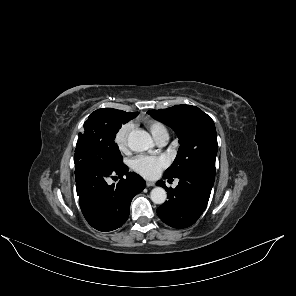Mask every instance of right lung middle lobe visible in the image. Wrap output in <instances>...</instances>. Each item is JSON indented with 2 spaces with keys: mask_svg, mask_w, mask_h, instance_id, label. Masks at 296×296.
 I'll use <instances>...</instances> for the list:
<instances>
[{
  "mask_svg": "<svg viewBox=\"0 0 296 296\" xmlns=\"http://www.w3.org/2000/svg\"><path fill=\"white\" fill-rule=\"evenodd\" d=\"M138 114L112 108H103L96 114L92 113L84 123V133L79 134L77 147L98 154L113 168L123 165V157L114 140L122 124Z\"/></svg>",
  "mask_w": 296,
  "mask_h": 296,
  "instance_id": "dd1d6c3e",
  "label": "right lung middle lobe"
}]
</instances>
